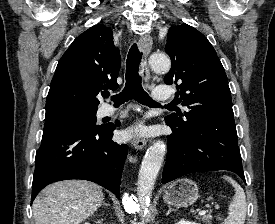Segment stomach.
<instances>
[{"label": "stomach", "mask_w": 275, "mask_h": 224, "mask_svg": "<svg viewBox=\"0 0 275 224\" xmlns=\"http://www.w3.org/2000/svg\"><path fill=\"white\" fill-rule=\"evenodd\" d=\"M199 198L196 183L188 178L178 179L172 182L164 190V201L176 208L193 205Z\"/></svg>", "instance_id": "1"}]
</instances>
